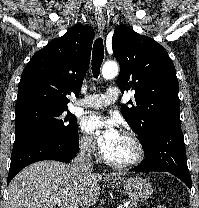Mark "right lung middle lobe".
Segmentation results:
<instances>
[{"label": "right lung middle lobe", "mask_w": 199, "mask_h": 208, "mask_svg": "<svg viewBox=\"0 0 199 208\" xmlns=\"http://www.w3.org/2000/svg\"><path fill=\"white\" fill-rule=\"evenodd\" d=\"M67 108L28 107L15 112V144L34 137L71 141L78 133L77 120Z\"/></svg>", "instance_id": "1"}]
</instances>
